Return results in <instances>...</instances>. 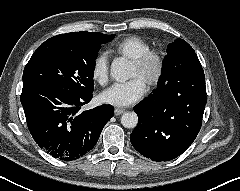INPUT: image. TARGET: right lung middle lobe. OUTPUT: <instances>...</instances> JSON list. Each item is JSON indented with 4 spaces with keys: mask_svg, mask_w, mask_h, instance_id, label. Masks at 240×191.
<instances>
[{
    "mask_svg": "<svg viewBox=\"0 0 240 191\" xmlns=\"http://www.w3.org/2000/svg\"><path fill=\"white\" fill-rule=\"evenodd\" d=\"M107 41L84 44L48 39L27 63L23 84L51 85L77 95L93 92L95 60L100 45Z\"/></svg>",
    "mask_w": 240,
    "mask_h": 191,
    "instance_id": "obj_1",
    "label": "right lung middle lobe"
}]
</instances>
